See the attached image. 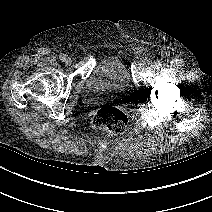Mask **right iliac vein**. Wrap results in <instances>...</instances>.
Segmentation results:
<instances>
[{
	"label": "right iliac vein",
	"mask_w": 212,
	"mask_h": 212,
	"mask_svg": "<svg viewBox=\"0 0 212 212\" xmlns=\"http://www.w3.org/2000/svg\"><path fill=\"white\" fill-rule=\"evenodd\" d=\"M64 62H65L66 65H70L71 62H72V60H71L70 57H66V59L64 60Z\"/></svg>",
	"instance_id": "right-iliac-vein-1"
}]
</instances>
